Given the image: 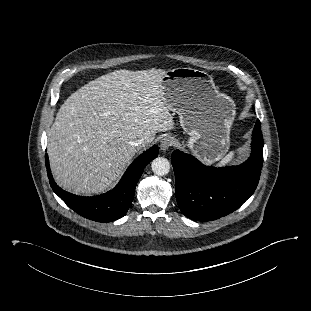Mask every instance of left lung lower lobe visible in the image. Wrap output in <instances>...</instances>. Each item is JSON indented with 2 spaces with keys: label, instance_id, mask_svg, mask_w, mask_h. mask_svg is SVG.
Here are the masks:
<instances>
[{
  "label": "left lung lower lobe",
  "instance_id": "left-lung-lower-lobe-1",
  "mask_svg": "<svg viewBox=\"0 0 311 311\" xmlns=\"http://www.w3.org/2000/svg\"><path fill=\"white\" fill-rule=\"evenodd\" d=\"M250 158L239 166H205L192 155L174 151L176 200L182 213L196 221H211L237 210L255 191L263 164L261 123L256 121Z\"/></svg>",
  "mask_w": 311,
  "mask_h": 311
}]
</instances>
